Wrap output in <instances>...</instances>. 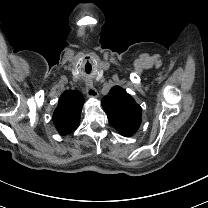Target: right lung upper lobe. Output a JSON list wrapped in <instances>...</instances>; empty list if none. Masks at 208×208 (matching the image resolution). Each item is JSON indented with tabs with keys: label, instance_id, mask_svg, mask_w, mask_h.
<instances>
[{
	"label": "right lung upper lobe",
	"instance_id": "right-lung-upper-lobe-1",
	"mask_svg": "<svg viewBox=\"0 0 208 208\" xmlns=\"http://www.w3.org/2000/svg\"><path fill=\"white\" fill-rule=\"evenodd\" d=\"M84 97L79 91H65L58 101L53 114V122L61 135H67L77 129Z\"/></svg>",
	"mask_w": 208,
	"mask_h": 208
}]
</instances>
